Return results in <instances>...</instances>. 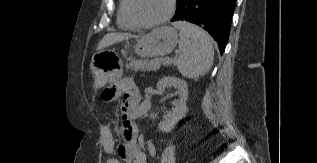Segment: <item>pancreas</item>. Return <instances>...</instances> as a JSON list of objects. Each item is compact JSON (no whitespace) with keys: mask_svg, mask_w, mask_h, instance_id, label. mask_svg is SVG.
<instances>
[{"mask_svg":"<svg viewBox=\"0 0 317 163\" xmlns=\"http://www.w3.org/2000/svg\"><path fill=\"white\" fill-rule=\"evenodd\" d=\"M167 59L155 58L152 60H132L126 64V69H131L135 72L139 70H157L161 65H169L170 63L166 62Z\"/></svg>","mask_w":317,"mask_h":163,"instance_id":"pancreas-1","label":"pancreas"}]
</instances>
